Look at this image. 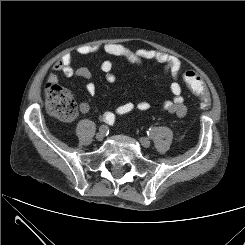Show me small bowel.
<instances>
[{
	"label": "small bowel",
	"instance_id": "c3829d8e",
	"mask_svg": "<svg viewBox=\"0 0 245 245\" xmlns=\"http://www.w3.org/2000/svg\"><path fill=\"white\" fill-rule=\"evenodd\" d=\"M102 51L104 54L120 58L127 62L133 64H141L144 61H154L163 65L164 73L173 78V82L170 84V91L172 93V98L166 100L163 103V110L167 113L174 115L178 118H183L187 113V107L184 103V97L182 95L181 84L177 81L178 76L182 70V63L177 57L168 55L163 52L155 50H132L120 44H106L101 45H82L77 49L79 55H86L89 53H94ZM73 54H66L60 60L55 62L52 66L53 71H60L67 77L77 76L84 79H90L92 74L87 68H78L73 67L74 62ZM101 70L105 75V79L108 83H114L116 81V75L114 73V64L111 60L106 59L101 63ZM59 80L58 76L54 73L48 75L49 83H57ZM86 89L90 95H94L96 92V87L92 82L87 83ZM150 108L148 101H127L123 104H120L115 108L114 111L106 112L103 115L105 120H115L117 115H125L133 111L146 112ZM90 109V106L87 102H82L79 104V111L81 113H87ZM108 116V117H107Z\"/></svg>",
	"mask_w": 245,
	"mask_h": 245
}]
</instances>
